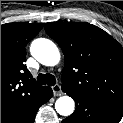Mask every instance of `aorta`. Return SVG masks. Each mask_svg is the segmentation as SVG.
Wrapping results in <instances>:
<instances>
[{
  "instance_id": "obj_1",
  "label": "aorta",
  "mask_w": 123,
  "mask_h": 123,
  "mask_svg": "<svg viewBox=\"0 0 123 123\" xmlns=\"http://www.w3.org/2000/svg\"><path fill=\"white\" fill-rule=\"evenodd\" d=\"M33 57L45 66H55L60 61V52L54 42L45 38L35 39L30 46ZM55 109L62 116H70L75 109V102L69 96L57 99Z\"/></svg>"
}]
</instances>
